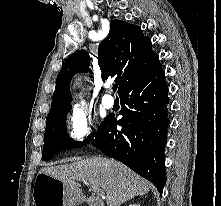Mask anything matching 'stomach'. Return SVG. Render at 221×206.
I'll use <instances>...</instances> for the list:
<instances>
[{
	"label": "stomach",
	"mask_w": 221,
	"mask_h": 206,
	"mask_svg": "<svg viewBox=\"0 0 221 206\" xmlns=\"http://www.w3.org/2000/svg\"><path fill=\"white\" fill-rule=\"evenodd\" d=\"M33 201L35 206H75L82 201V193L77 187L39 173Z\"/></svg>",
	"instance_id": "0dacf381"
}]
</instances>
